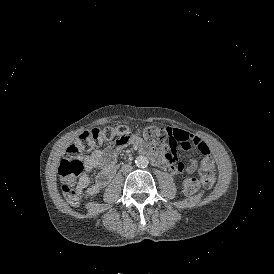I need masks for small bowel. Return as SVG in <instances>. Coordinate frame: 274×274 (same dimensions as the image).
<instances>
[{"mask_svg":"<svg viewBox=\"0 0 274 274\" xmlns=\"http://www.w3.org/2000/svg\"><path fill=\"white\" fill-rule=\"evenodd\" d=\"M175 131L177 132V138L180 140L178 148L182 150H188L191 146H196L200 151L205 146H207L201 139L187 131L180 129H176ZM125 145H131L137 148L141 153L148 150L151 151L152 155L150 156V159L153 161V164L159 168L168 169L173 173L178 174L183 171L191 173L195 169V165L192 163L188 166H183L182 164L176 163L175 159L169 160L164 154L150 148L139 137L131 135L125 144L108 147L104 150H94L85 157L84 173L79 177L77 182V190L79 193L93 196L100 193V191L107 186L118 168L116 157L120 149ZM188 159L190 161H195L197 159V154L195 152H190L188 154ZM206 165H199L196 169V172L204 179L207 184L212 185L215 183L216 178L208 168H215L217 162L215 159L210 158L207 160ZM95 169H98V173L94 179L93 184L90 185L89 174Z\"/></svg>","mask_w":274,"mask_h":274,"instance_id":"obj_1","label":"small bowel"}]
</instances>
